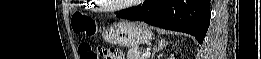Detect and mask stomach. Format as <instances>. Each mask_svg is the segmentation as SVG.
<instances>
[{"mask_svg":"<svg viewBox=\"0 0 261 59\" xmlns=\"http://www.w3.org/2000/svg\"><path fill=\"white\" fill-rule=\"evenodd\" d=\"M152 37L151 28L137 21L121 20L103 31V38L107 43L124 47L146 44Z\"/></svg>","mask_w":261,"mask_h":59,"instance_id":"obj_1","label":"stomach"}]
</instances>
